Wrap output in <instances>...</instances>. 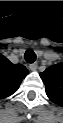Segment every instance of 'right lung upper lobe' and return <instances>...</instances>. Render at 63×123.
<instances>
[{
	"label": "right lung upper lobe",
	"instance_id": "1",
	"mask_svg": "<svg viewBox=\"0 0 63 123\" xmlns=\"http://www.w3.org/2000/svg\"><path fill=\"white\" fill-rule=\"evenodd\" d=\"M27 74L28 70L25 66L13 64L7 58L2 57L0 63V97H8L15 93Z\"/></svg>",
	"mask_w": 63,
	"mask_h": 123
}]
</instances>
